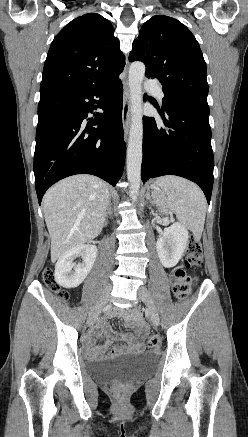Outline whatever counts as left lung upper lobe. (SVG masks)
Instances as JSON below:
<instances>
[{
  "label": "left lung upper lobe",
  "mask_w": 248,
  "mask_h": 437,
  "mask_svg": "<svg viewBox=\"0 0 248 437\" xmlns=\"http://www.w3.org/2000/svg\"><path fill=\"white\" fill-rule=\"evenodd\" d=\"M142 61L145 76L163 85V108L176 104L207 105L206 63L200 46L181 22L157 15L146 21L133 42L129 61Z\"/></svg>",
  "instance_id": "1"
}]
</instances>
